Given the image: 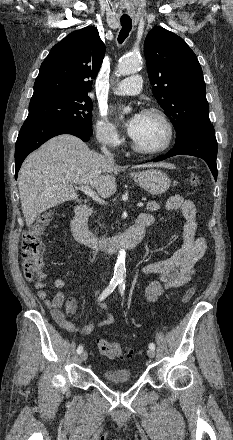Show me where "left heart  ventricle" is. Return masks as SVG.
I'll use <instances>...</instances> for the list:
<instances>
[{"label": "left heart ventricle", "mask_w": 233, "mask_h": 440, "mask_svg": "<svg viewBox=\"0 0 233 440\" xmlns=\"http://www.w3.org/2000/svg\"><path fill=\"white\" fill-rule=\"evenodd\" d=\"M166 135V128L158 117L142 114L140 126L132 138L141 147L153 149L164 143Z\"/></svg>", "instance_id": "left-heart-ventricle-1"}]
</instances>
